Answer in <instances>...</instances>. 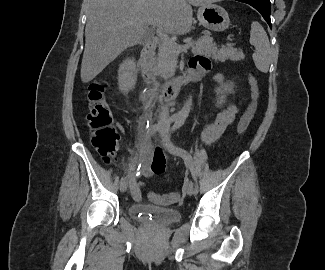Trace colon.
<instances>
[{
	"label": "colon",
	"instance_id": "colon-1",
	"mask_svg": "<svg viewBox=\"0 0 325 270\" xmlns=\"http://www.w3.org/2000/svg\"><path fill=\"white\" fill-rule=\"evenodd\" d=\"M251 101L241 116L237 134L242 135L248 128L256 113L259 102V88L256 79L249 76ZM87 123L91 133V142L106 163L116 157L119 136L112 125V115L104 94L101 82L94 81L89 85L87 93ZM150 199L162 205L176 203L181 199L178 192L168 194L150 193Z\"/></svg>",
	"mask_w": 325,
	"mask_h": 270
}]
</instances>
